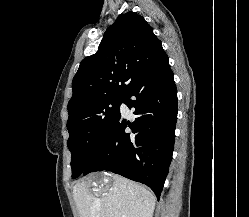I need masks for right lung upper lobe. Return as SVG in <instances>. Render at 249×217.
I'll return each mask as SVG.
<instances>
[{
    "instance_id": "1",
    "label": "right lung upper lobe",
    "mask_w": 249,
    "mask_h": 217,
    "mask_svg": "<svg viewBox=\"0 0 249 217\" xmlns=\"http://www.w3.org/2000/svg\"><path fill=\"white\" fill-rule=\"evenodd\" d=\"M163 53L142 16L121 14L106 30L98 51L81 61L72 82L69 115L98 100L125 97Z\"/></svg>"
}]
</instances>
